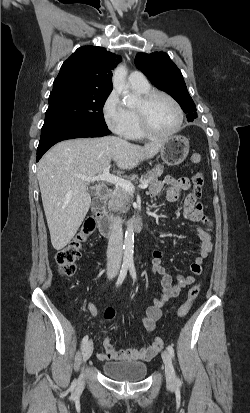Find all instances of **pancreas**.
<instances>
[{"label": "pancreas", "instance_id": "pancreas-1", "mask_svg": "<svg viewBox=\"0 0 250 413\" xmlns=\"http://www.w3.org/2000/svg\"><path fill=\"white\" fill-rule=\"evenodd\" d=\"M164 170L163 165H156L154 166L151 170L147 172L146 175L143 176L145 181L148 182V184H153L154 182L158 181V178L162 175ZM133 194L131 192H128L124 189H118L116 190L115 196L113 199L109 202V207L112 210H121L123 213H126L129 210L130 203L133 201Z\"/></svg>", "mask_w": 250, "mask_h": 413}]
</instances>
